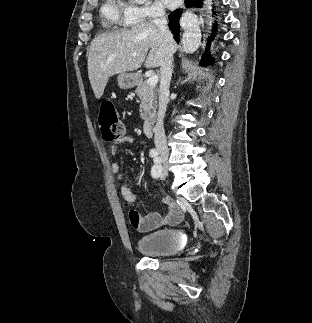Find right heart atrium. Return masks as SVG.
Instances as JSON below:
<instances>
[{
  "label": "right heart atrium",
  "mask_w": 312,
  "mask_h": 323,
  "mask_svg": "<svg viewBox=\"0 0 312 323\" xmlns=\"http://www.w3.org/2000/svg\"><path fill=\"white\" fill-rule=\"evenodd\" d=\"M165 6L158 2H138L137 6H128L121 10V17H128L129 22H152V17H164Z\"/></svg>",
  "instance_id": "1"
}]
</instances>
